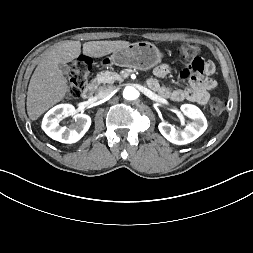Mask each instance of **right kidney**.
<instances>
[{
  "instance_id": "obj_1",
  "label": "right kidney",
  "mask_w": 253,
  "mask_h": 253,
  "mask_svg": "<svg viewBox=\"0 0 253 253\" xmlns=\"http://www.w3.org/2000/svg\"><path fill=\"white\" fill-rule=\"evenodd\" d=\"M74 115V121L68 127H60L59 119ZM91 118L86 114H76L71 104H59L50 109L42 121V129L52 139L62 143H75L88 131Z\"/></svg>"
}]
</instances>
